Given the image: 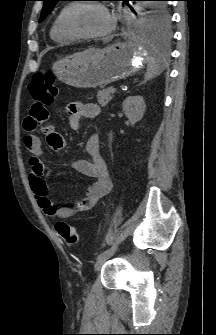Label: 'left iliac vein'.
<instances>
[{
  "label": "left iliac vein",
  "instance_id": "4c4485c4",
  "mask_svg": "<svg viewBox=\"0 0 216 335\" xmlns=\"http://www.w3.org/2000/svg\"><path fill=\"white\" fill-rule=\"evenodd\" d=\"M107 257H103V258H100V259H97L96 263H95V271H98L101 269L102 265L105 263Z\"/></svg>",
  "mask_w": 216,
  "mask_h": 335
}]
</instances>
